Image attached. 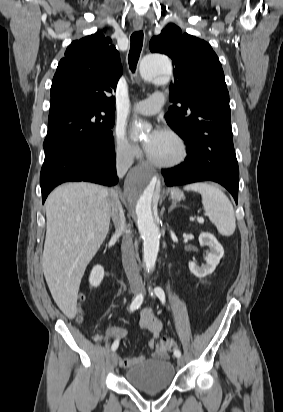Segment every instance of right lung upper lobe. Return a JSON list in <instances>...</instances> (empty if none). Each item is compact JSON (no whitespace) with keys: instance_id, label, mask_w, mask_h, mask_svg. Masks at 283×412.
<instances>
[{"instance_id":"obj_1","label":"right lung upper lobe","mask_w":283,"mask_h":412,"mask_svg":"<svg viewBox=\"0 0 283 412\" xmlns=\"http://www.w3.org/2000/svg\"><path fill=\"white\" fill-rule=\"evenodd\" d=\"M99 32L73 41L61 59L51 87L49 115L70 107H95L115 112L117 82L122 74L119 53Z\"/></svg>"}]
</instances>
